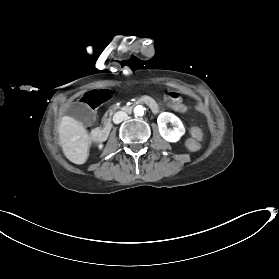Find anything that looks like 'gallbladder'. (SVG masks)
Returning <instances> with one entry per match:
<instances>
[{"mask_svg": "<svg viewBox=\"0 0 279 279\" xmlns=\"http://www.w3.org/2000/svg\"><path fill=\"white\" fill-rule=\"evenodd\" d=\"M60 113L64 117L73 116L79 124L92 125L96 121V116L92 112H88L85 107H82L78 101H73L69 106L61 108Z\"/></svg>", "mask_w": 279, "mask_h": 279, "instance_id": "bac80fb5", "label": "gallbladder"}]
</instances>
